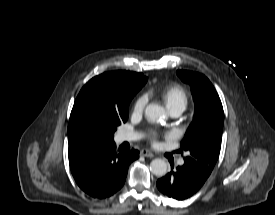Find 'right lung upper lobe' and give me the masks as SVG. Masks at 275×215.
Listing matches in <instances>:
<instances>
[{"instance_id": "cb5924a9", "label": "right lung upper lobe", "mask_w": 275, "mask_h": 215, "mask_svg": "<svg viewBox=\"0 0 275 215\" xmlns=\"http://www.w3.org/2000/svg\"><path fill=\"white\" fill-rule=\"evenodd\" d=\"M146 82L147 77L141 73L130 71L106 72L86 83L75 102L84 97H95L118 106L132 91L140 90Z\"/></svg>"}]
</instances>
